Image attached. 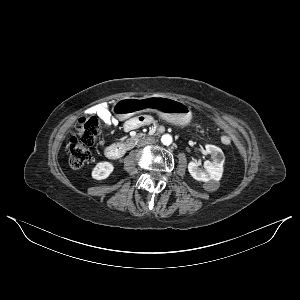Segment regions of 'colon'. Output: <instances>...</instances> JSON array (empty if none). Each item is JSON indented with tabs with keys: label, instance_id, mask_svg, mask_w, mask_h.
Returning <instances> with one entry per match:
<instances>
[{
	"label": "colon",
	"instance_id": "obj_1",
	"mask_svg": "<svg viewBox=\"0 0 300 300\" xmlns=\"http://www.w3.org/2000/svg\"><path fill=\"white\" fill-rule=\"evenodd\" d=\"M78 132L79 136L71 137L68 144L69 164L75 169L83 167L91 159L90 147L104 142V134L95 117L83 119L78 125Z\"/></svg>",
	"mask_w": 300,
	"mask_h": 300
}]
</instances>
